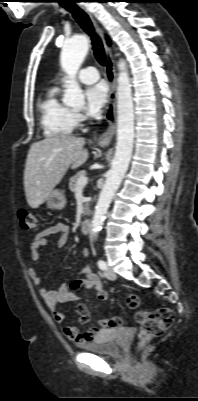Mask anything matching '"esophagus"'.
Returning <instances> with one entry per match:
<instances>
[{"instance_id": "1", "label": "esophagus", "mask_w": 198, "mask_h": 401, "mask_svg": "<svg viewBox=\"0 0 198 401\" xmlns=\"http://www.w3.org/2000/svg\"><path fill=\"white\" fill-rule=\"evenodd\" d=\"M80 6L91 18L99 36L102 39L105 53H106V59H107L106 78L109 83L110 90H109L108 104L106 107L104 119L107 122L108 127H107L106 131L102 135H100V137L98 138V144L107 145L111 142V140L115 134V131H116V87H117V84H116L115 64H114V60H113V56H112V51L106 43L105 34H104L103 29L98 25L93 14L82 4H80Z\"/></svg>"}]
</instances>
